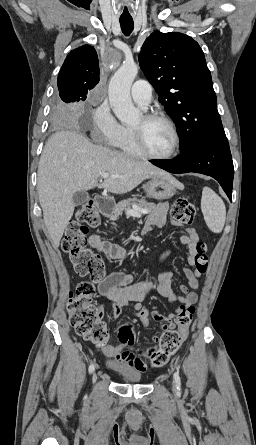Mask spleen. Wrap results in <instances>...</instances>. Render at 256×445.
Segmentation results:
<instances>
[{"instance_id":"spleen-1","label":"spleen","mask_w":256,"mask_h":445,"mask_svg":"<svg viewBox=\"0 0 256 445\" xmlns=\"http://www.w3.org/2000/svg\"><path fill=\"white\" fill-rule=\"evenodd\" d=\"M201 210L208 228L214 233L223 230L226 220V207L223 200L209 187H204Z\"/></svg>"}]
</instances>
